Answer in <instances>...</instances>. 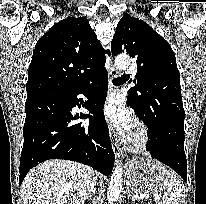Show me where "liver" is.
<instances>
[{
  "instance_id": "6515ba94",
  "label": "liver",
  "mask_w": 206,
  "mask_h": 204,
  "mask_svg": "<svg viewBox=\"0 0 206 204\" xmlns=\"http://www.w3.org/2000/svg\"><path fill=\"white\" fill-rule=\"evenodd\" d=\"M95 172L67 160H49L37 165L24 178V204H82Z\"/></svg>"
}]
</instances>
